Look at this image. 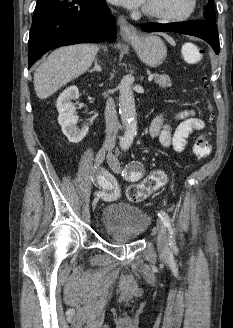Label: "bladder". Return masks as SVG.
Returning <instances> with one entry per match:
<instances>
[{"label":"bladder","instance_id":"bladder-1","mask_svg":"<svg viewBox=\"0 0 233 328\" xmlns=\"http://www.w3.org/2000/svg\"><path fill=\"white\" fill-rule=\"evenodd\" d=\"M150 222V217L141 208L123 201L105 206L101 213L102 226L109 236L136 238Z\"/></svg>","mask_w":233,"mask_h":328}]
</instances>
